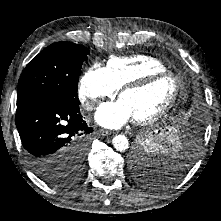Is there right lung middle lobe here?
I'll return each instance as SVG.
<instances>
[{
  "label": "right lung middle lobe",
  "mask_w": 221,
  "mask_h": 221,
  "mask_svg": "<svg viewBox=\"0 0 221 221\" xmlns=\"http://www.w3.org/2000/svg\"><path fill=\"white\" fill-rule=\"evenodd\" d=\"M89 50L71 42H57L46 47L24 69L18 84L17 104L35 96H59L80 103L77 97L79 73ZM90 140L73 148L61 167L44 166L38 176L54 186H67L81 179Z\"/></svg>",
  "instance_id": "right-lung-middle-lobe-1"
}]
</instances>
